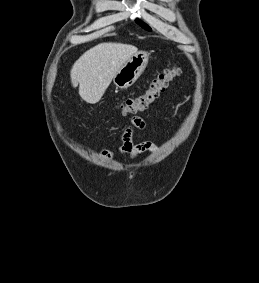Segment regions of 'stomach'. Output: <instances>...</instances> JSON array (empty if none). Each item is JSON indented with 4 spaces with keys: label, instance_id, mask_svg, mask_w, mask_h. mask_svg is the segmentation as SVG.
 I'll use <instances>...</instances> for the list:
<instances>
[{
    "label": "stomach",
    "instance_id": "stomach-1",
    "mask_svg": "<svg viewBox=\"0 0 259 283\" xmlns=\"http://www.w3.org/2000/svg\"><path fill=\"white\" fill-rule=\"evenodd\" d=\"M148 63V54L137 52L132 55L113 77L114 84L121 89L130 87L142 74Z\"/></svg>",
    "mask_w": 259,
    "mask_h": 283
}]
</instances>
